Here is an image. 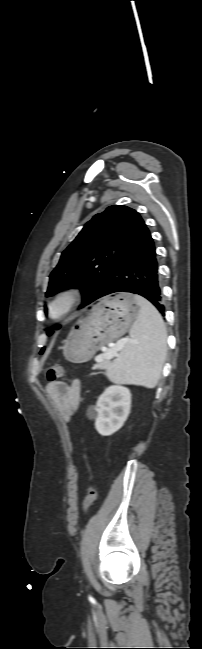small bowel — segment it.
Returning a JSON list of instances; mask_svg holds the SVG:
<instances>
[{"label":"small bowel","mask_w":202,"mask_h":649,"mask_svg":"<svg viewBox=\"0 0 202 649\" xmlns=\"http://www.w3.org/2000/svg\"><path fill=\"white\" fill-rule=\"evenodd\" d=\"M80 380L74 379L70 385L63 381H52L46 386L52 406L61 418L68 422L80 403Z\"/></svg>","instance_id":"small-bowel-1"}]
</instances>
